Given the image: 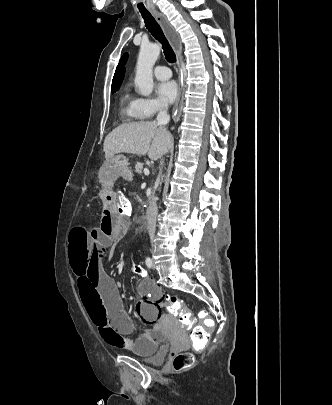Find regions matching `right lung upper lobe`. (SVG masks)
<instances>
[{
	"mask_svg": "<svg viewBox=\"0 0 332 405\" xmlns=\"http://www.w3.org/2000/svg\"><path fill=\"white\" fill-rule=\"evenodd\" d=\"M127 57H128V54L125 53V54L122 56V58L120 59L119 64H118V66H117V68H116L114 77H113L112 87L121 84L122 79H123V76H124V72H125L124 65H125V63H126V61H127Z\"/></svg>",
	"mask_w": 332,
	"mask_h": 405,
	"instance_id": "cb5924a9",
	"label": "right lung upper lobe"
}]
</instances>
